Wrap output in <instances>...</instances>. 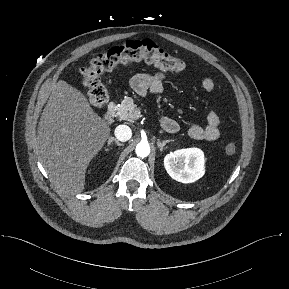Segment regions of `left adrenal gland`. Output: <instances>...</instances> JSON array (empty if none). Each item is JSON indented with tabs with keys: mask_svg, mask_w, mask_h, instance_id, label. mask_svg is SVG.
Returning <instances> with one entry per match:
<instances>
[{
	"mask_svg": "<svg viewBox=\"0 0 289 289\" xmlns=\"http://www.w3.org/2000/svg\"><path fill=\"white\" fill-rule=\"evenodd\" d=\"M171 141L172 140H164L160 142L159 140H157V146L159 147L160 151H163V148L165 147V145Z\"/></svg>",
	"mask_w": 289,
	"mask_h": 289,
	"instance_id": "1",
	"label": "left adrenal gland"
}]
</instances>
